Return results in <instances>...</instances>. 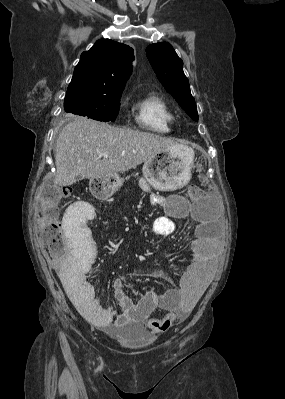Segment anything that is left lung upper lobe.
<instances>
[{
    "instance_id": "5c2ea615",
    "label": "left lung upper lobe",
    "mask_w": 285,
    "mask_h": 399,
    "mask_svg": "<svg viewBox=\"0 0 285 399\" xmlns=\"http://www.w3.org/2000/svg\"><path fill=\"white\" fill-rule=\"evenodd\" d=\"M146 55L164 88L193 120L198 121L196 103L182 69L183 61L173 47L167 42L155 43L146 48Z\"/></svg>"
}]
</instances>
